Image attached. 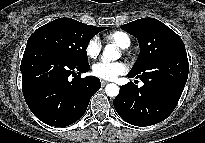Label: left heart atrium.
Listing matches in <instances>:
<instances>
[{
  "label": "left heart atrium",
  "instance_id": "39dd6f15",
  "mask_svg": "<svg viewBox=\"0 0 205 143\" xmlns=\"http://www.w3.org/2000/svg\"><path fill=\"white\" fill-rule=\"evenodd\" d=\"M126 71L127 65L123 62L99 61L92 66V74L103 80H114Z\"/></svg>",
  "mask_w": 205,
  "mask_h": 143
}]
</instances>
